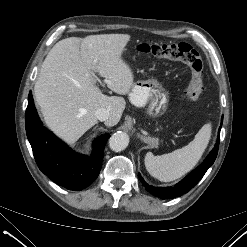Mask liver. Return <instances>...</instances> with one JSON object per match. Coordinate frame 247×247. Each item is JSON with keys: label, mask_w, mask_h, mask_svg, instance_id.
<instances>
[{"label": "liver", "mask_w": 247, "mask_h": 247, "mask_svg": "<svg viewBox=\"0 0 247 247\" xmlns=\"http://www.w3.org/2000/svg\"><path fill=\"white\" fill-rule=\"evenodd\" d=\"M129 34L70 37L57 42L46 56L35 83V99L46 125L65 142H76L97 124L95 111L109 110L107 126L116 125L125 109L121 96H107L96 85L98 74L108 88L126 95L134 84L122 54Z\"/></svg>", "instance_id": "liver-1"}]
</instances>
